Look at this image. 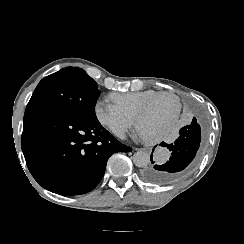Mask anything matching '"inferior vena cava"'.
<instances>
[{"label":"inferior vena cava","mask_w":244,"mask_h":244,"mask_svg":"<svg viewBox=\"0 0 244 244\" xmlns=\"http://www.w3.org/2000/svg\"><path fill=\"white\" fill-rule=\"evenodd\" d=\"M117 136L120 138V139H126V135H125V132L123 130H120L118 133H117Z\"/></svg>","instance_id":"obj_1"}]
</instances>
